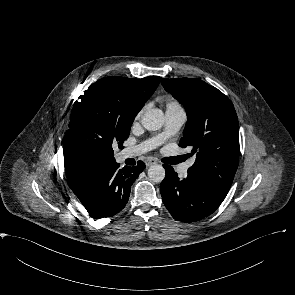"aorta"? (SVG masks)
Here are the masks:
<instances>
[{
  "label": "aorta",
  "instance_id": "obj_1",
  "mask_svg": "<svg viewBox=\"0 0 295 295\" xmlns=\"http://www.w3.org/2000/svg\"><path fill=\"white\" fill-rule=\"evenodd\" d=\"M141 123L147 130H159L164 124V113L158 108L149 109L143 114ZM148 177L152 182L160 183L165 178V169L159 164L152 165L148 169Z\"/></svg>",
  "mask_w": 295,
  "mask_h": 295
}]
</instances>
